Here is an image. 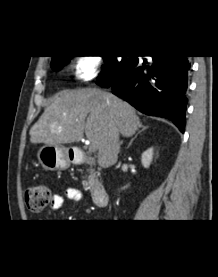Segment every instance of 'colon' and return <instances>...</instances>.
<instances>
[{
	"mask_svg": "<svg viewBox=\"0 0 218 277\" xmlns=\"http://www.w3.org/2000/svg\"><path fill=\"white\" fill-rule=\"evenodd\" d=\"M51 190L46 185H33L25 191V203L32 212L42 211L49 203Z\"/></svg>",
	"mask_w": 218,
	"mask_h": 277,
	"instance_id": "5ec220e1",
	"label": "colon"
}]
</instances>
